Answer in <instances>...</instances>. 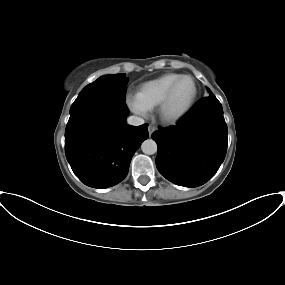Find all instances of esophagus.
Here are the masks:
<instances>
[{
    "label": "esophagus",
    "instance_id": "obj_1",
    "mask_svg": "<svg viewBox=\"0 0 285 285\" xmlns=\"http://www.w3.org/2000/svg\"><path fill=\"white\" fill-rule=\"evenodd\" d=\"M155 130H156L155 126L149 125L148 127L149 136H151Z\"/></svg>",
    "mask_w": 285,
    "mask_h": 285
}]
</instances>
